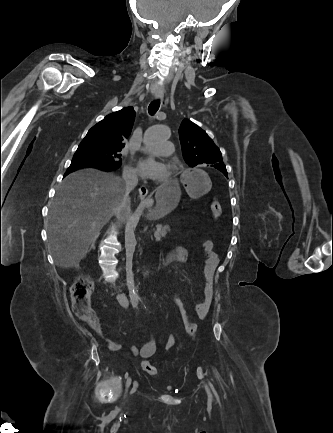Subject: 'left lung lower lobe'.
Listing matches in <instances>:
<instances>
[{"label": "left lung lower lobe", "instance_id": "obj_1", "mask_svg": "<svg viewBox=\"0 0 333 433\" xmlns=\"http://www.w3.org/2000/svg\"><path fill=\"white\" fill-rule=\"evenodd\" d=\"M212 167H214V168H216V169H218L220 171H221V169L223 170V168H221L219 165H212Z\"/></svg>", "mask_w": 333, "mask_h": 433}]
</instances>
